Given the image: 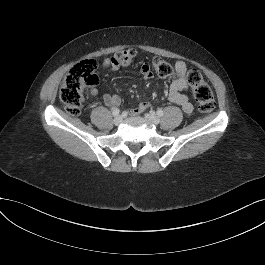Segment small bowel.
<instances>
[{
    "label": "small bowel",
    "mask_w": 265,
    "mask_h": 265,
    "mask_svg": "<svg viewBox=\"0 0 265 265\" xmlns=\"http://www.w3.org/2000/svg\"><path fill=\"white\" fill-rule=\"evenodd\" d=\"M103 66L106 69L117 70L119 66L112 61V58H107L103 61ZM175 77L170 83L168 98L169 100L181 107L186 114L193 112V105L189 101L188 97L184 94L188 89L189 85L185 79L187 73V64L184 61H177L174 65ZM140 74L143 79L148 80L153 77L152 70L148 63H143L140 67ZM89 96H96L98 90L95 87L90 88L87 91ZM103 102L108 107H116L121 102V97L118 94L108 93L103 97ZM149 107L148 102H141L135 108L129 110L131 115H139Z\"/></svg>",
    "instance_id": "small-bowel-1"
}]
</instances>
